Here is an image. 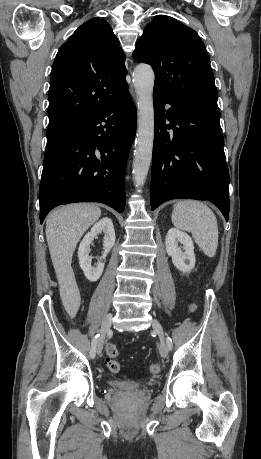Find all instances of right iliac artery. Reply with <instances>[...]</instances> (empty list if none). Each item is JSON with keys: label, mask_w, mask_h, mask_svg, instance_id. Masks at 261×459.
Here are the masks:
<instances>
[{"label": "right iliac artery", "mask_w": 261, "mask_h": 459, "mask_svg": "<svg viewBox=\"0 0 261 459\" xmlns=\"http://www.w3.org/2000/svg\"><path fill=\"white\" fill-rule=\"evenodd\" d=\"M99 336H100L99 334H96L92 339L91 349H90V357L91 358L95 357L96 345H97V341H98Z\"/></svg>", "instance_id": "right-iliac-artery-1"}]
</instances>
